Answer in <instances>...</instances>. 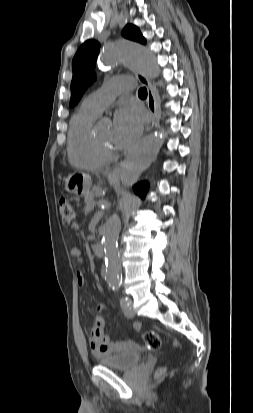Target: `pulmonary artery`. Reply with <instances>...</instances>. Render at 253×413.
I'll return each mask as SVG.
<instances>
[{
	"mask_svg": "<svg viewBox=\"0 0 253 413\" xmlns=\"http://www.w3.org/2000/svg\"><path fill=\"white\" fill-rule=\"evenodd\" d=\"M129 89L117 79L109 80L100 89L87 96L82 106L99 115L119 93Z\"/></svg>",
	"mask_w": 253,
	"mask_h": 413,
	"instance_id": "e3ab8cb5",
	"label": "pulmonary artery"
}]
</instances>
